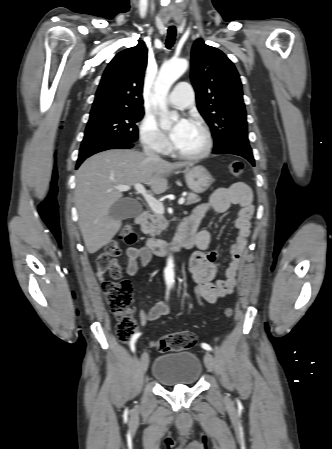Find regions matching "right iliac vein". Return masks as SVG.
Masks as SVG:
<instances>
[{"label": "right iliac vein", "mask_w": 332, "mask_h": 449, "mask_svg": "<svg viewBox=\"0 0 332 449\" xmlns=\"http://www.w3.org/2000/svg\"><path fill=\"white\" fill-rule=\"evenodd\" d=\"M149 365V356L147 352H144L140 358V371L145 374Z\"/></svg>", "instance_id": "obj_1"}]
</instances>
